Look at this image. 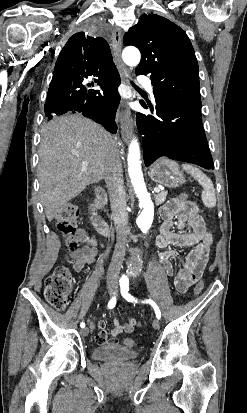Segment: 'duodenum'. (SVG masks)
Instances as JSON below:
<instances>
[{
	"mask_svg": "<svg viewBox=\"0 0 247 413\" xmlns=\"http://www.w3.org/2000/svg\"><path fill=\"white\" fill-rule=\"evenodd\" d=\"M107 202V194L104 189L98 188L95 192V199L91 204L92 214L90 221L95 229L104 236H110V227L100 216L95 212L105 206Z\"/></svg>",
	"mask_w": 247,
	"mask_h": 413,
	"instance_id": "1",
	"label": "duodenum"
}]
</instances>
